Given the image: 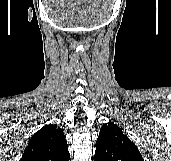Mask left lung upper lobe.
Here are the masks:
<instances>
[{"mask_svg":"<svg viewBox=\"0 0 171 161\" xmlns=\"http://www.w3.org/2000/svg\"><path fill=\"white\" fill-rule=\"evenodd\" d=\"M94 161H144L138 148L114 123L101 127Z\"/></svg>","mask_w":171,"mask_h":161,"instance_id":"5c2ea615","label":"left lung upper lobe"}]
</instances>
